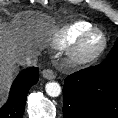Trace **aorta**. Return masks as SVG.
Listing matches in <instances>:
<instances>
[{"instance_id": "obj_1", "label": "aorta", "mask_w": 118, "mask_h": 118, "mask_svg": "<svg viewBox=\"0 0 118 118\" xmlns=\"http://www.w3.org/2000/svg\"><path fill=\"white\" fill-rule=\"evenodd\" d=\"M45 90L49 96L58 97L61 93V86L57 82H48Z\"/></svg>"}]
</instances>
